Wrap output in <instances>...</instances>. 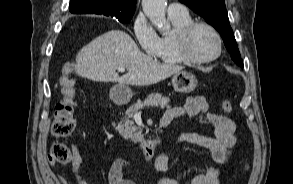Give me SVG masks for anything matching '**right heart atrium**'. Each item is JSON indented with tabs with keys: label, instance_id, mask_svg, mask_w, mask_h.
I'll use <instances>...</instances> for the list:
<instances>
[{
	"label": "right heart atrium",
	"instance_id": "obj_1",
	"mask_svg": "<svg viewBox=\"0 0 293 184\" xmlns=\"http://www.w3.org/2000/svg\"><path fill=\"white\" fill-rule=\"evenodd\" d=\"M132 31L141 49L148 55L154 56L159 36L144 14L139 13L132 23Z\"/></svg>",
	"mask_w": 293,
	"mask_h": 184
}]
</instances>
